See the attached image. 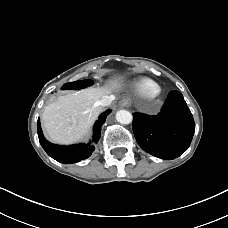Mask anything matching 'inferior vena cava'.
Returning <instances> with one entry per match:
<instances>
[{
  "mask_svg": "<svg viewBox=\"0 0 228 228\" xmlns=\"http://www.w3.org/2000/svg\"><path fill=\"white\" fill-rule=\"evenodd\" d=\"M114 99H115V97L113 95L105 96L97 102V105L102 106V107L109 106V105H111V103Z\"/></svg>",
  "mask_w": 228,
  "mask_h": 228,
  "instance_id": "602c4592",
  "label": "inferior vena cava"
}]
</instances>
